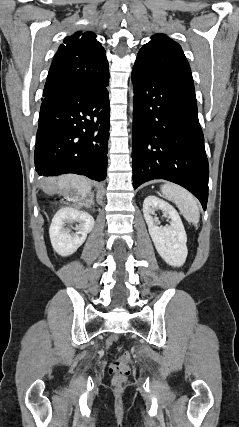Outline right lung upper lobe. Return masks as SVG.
<instances>
[{
	"instance_id": "obj_1",
	"label": "right lung upper lobe",
	"mask_w": 239,
	"mask_h": 427,
	"mask_svg": "<svg viewBox=\"0 0 239 427\" xmlns=\"http://www.w3.org/2000/svg\"><path fill=\"white\" fill-rule=\"evenodd\" d=\"M109 73L106 52L92 32L78 31L64 39L51 64L43 94L79 81H94Z\"/></svg>"
}]
</instances>
